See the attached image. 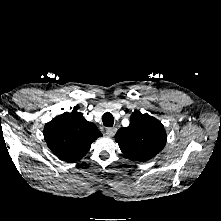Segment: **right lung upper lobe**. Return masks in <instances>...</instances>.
<instances>
[{
    "label": "right lung upper lobe",
    "mask_w": 221,
    "mask_h": 221,
    "mask_svg": "<svg viewBox=\"0 0 221 221\" xmlns=\"http://www.w3.org/2000/svg\"><path fill=\"white\" fill-rule=\"evenodd\" d=\"M102 134L83 114L73 110L55 117L44 127V138L51 151L66 162L85 156L91 144Z\"/></svg>",
    "instance_id": "1"
}]
</instances>
